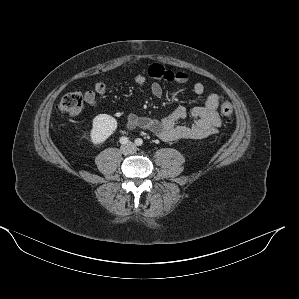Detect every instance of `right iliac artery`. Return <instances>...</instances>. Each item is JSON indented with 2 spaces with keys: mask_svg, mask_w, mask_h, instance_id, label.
Wrapping results in <instances>:
<instances>
[{
  "mask_svg": "<svg viewBox=\"0 0 299 299\" xmlns=\"http://www.w3.org/2000/svg\"><path fill=\"white\" fill-rule=\"evenodd\" d=\"M119 141L121 144H127L129 142V139L127 137L123 136L120 138Z\"/></svg>",
  "mask_w": 299,
  "mask_h": 299,
  "instance_id": "obj_1",
  "label": "right iliac artery"
}]
</instances>
